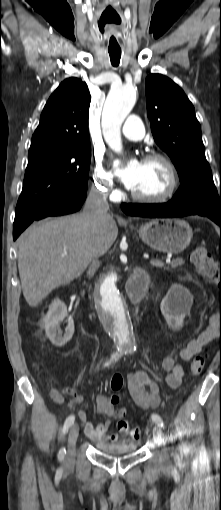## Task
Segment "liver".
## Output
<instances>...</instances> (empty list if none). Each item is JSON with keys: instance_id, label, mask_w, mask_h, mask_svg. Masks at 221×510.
Segmentation results:
<instances>
[{"instance_id": "liver-1", "label": "liver", "mask_w": 221, "mask_h": 510, "mask_svg": "<svg viewBox=\"0 0 221 510\" xmlns=\"http://www.w3.org/2000/svg\"><path fill=\"white\" fill-rule=\"evenodd\" d=\"M117 235L112 215L96 226L85 211L30 226L17 241L21 286L29 306H37L56 287L80 277L93 257L109 250Z\"/></svg>"}]
</instances>
